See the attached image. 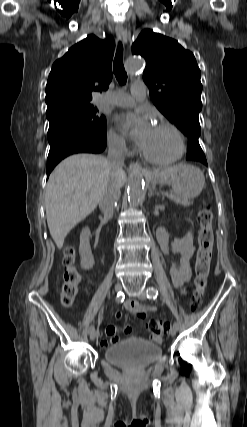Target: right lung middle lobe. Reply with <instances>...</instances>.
I'll list each match as a JSON object with an SVG mask.
<instances>
[{"mask_svg": "<svg viewBox=\"0 0 247 427\" xmlns=\"http://www.w3.org/2000/svg\"><path fill=\"white\" fill-rule=\"evenodd\" d=\"M49 122L63 121L75 124L96 136L106 139V119L93 105L66 106L46 114Z\"/></svg>", "mask_w": 247, "mask_h": 427, "instance_id": "1", "label": "right lung middle lobe"}]
</instances>
